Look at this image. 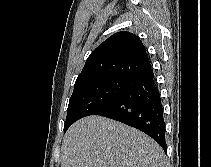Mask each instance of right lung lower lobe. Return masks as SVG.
Instances as JSON below:
<instances>
[{"mask_svg":"<svg viewBox=\"0 0 211 167\" xmlns=\"http://www.w3.org/2000/svg\"><path fill=\"white\" fill-rule=\"evenodd\" d=\"M130 86L93 115L105 116L141 130L166 152L165 122L160 92L152 67L131 77Z\"/></svg>","mask_w":211,"mask_h":167,"instance_id":"right-lung-lower-lobe-1","label":"right lung lower lobe"}]
</instances>
